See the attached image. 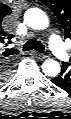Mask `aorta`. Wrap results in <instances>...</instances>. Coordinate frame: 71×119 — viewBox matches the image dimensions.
Here are the masks:
<instances>
[{
    "instance_id": "aorta-1",
    "label": "aorta",
    "mask_w": 71,
    "mask_h": 119,
    "mask_svg": "<svg viewBox=\"0 0 71 119\" xmlns=\"http://www.w3.org/2000/svg\"><path fill=\"white\" fill-rule=\"evenodd\" d=\"M25 21L33 29L41 30L48 26V17L40 9L32 8L25 13ZM42 69L45 75L55 77L60 73V65L56 60L47 59L42 64Z\"/></svg>"
}]
</instances>
